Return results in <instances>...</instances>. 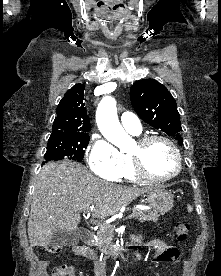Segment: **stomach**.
<instances>
[{
  "instance_id": "stomach-1",
  "label": "stomach",
  "mask_w": 221,
  "mask_h": 276,
  "mask_svg": "<svg viewBox=\"0 0 221 276\" xmlns=\"http://www.w3.org/2000/svg\"><path fill=\"white\" fill-rule=\"evenodd\" d=\"M146 201L153 211L165 213L173 206V195L163 189H154L147 192Z\"/></svg>"
}]
</instances>
